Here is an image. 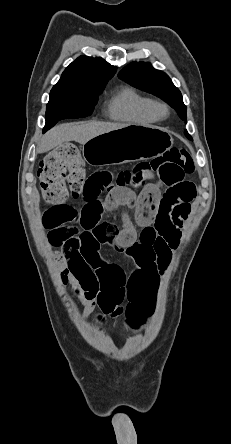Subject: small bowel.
<instances>
[{
    "label": "small bowel",
    "instance_id": "small-bowel-1",
    "mask_svg": "<svg viewBox=\"0 0 231 444\" xmlns=\"http://www.w3.org/2000/svg\"><path fill=\"white\" fill-rule=\"evenodd\" d=\"M115 179L116 175L108 170L93 173L87 178L81 196L82 207L76 210L66 205L71 221L49 231L51 244L62 246V254L57 257L62 280H75L79 285L85 303L83 318L99 308L96 320L101 324L106 323L107 317L123 313L125 298L140 294L151 284L158 286L179 244L190 202L196 196V187L189 181L162 192L164 184L156 179L146 183L148 178L142 186L114 188ZM140 188L137 196L135 191ZM104 190L110 192L101 199ZM180 206L186 208L185 216L177 213ZM120 207L134 208L133 221L124 214L123 227L118 228L103 220L107 212ZM136 226L141 229L139 235ZM104 246L111 247L122 263L129 266V273L120 263L107 260ZM64 250L81 255L80 268L67 267Z\"/></svg>",
    "mask_w": 231,
    "mask_h": 444
}]
</instances>
